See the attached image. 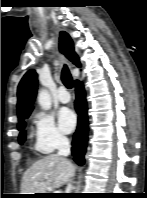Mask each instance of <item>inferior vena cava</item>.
Listing matches in <instances>:
<instances>
[{
	"label": "inferior vena cava",
	"instance_id": "obj_1",
	"mask_svg": "<svg viewBox=\"0 0 147 198\" xmlns=\"http://www.w3.org/2000/svg\"><path fill=\"white\" fill-rule=\"evenodd\" d=\"M58 155L66 158L70 154V142L67 137L60 136L57 142ZM72 189V185L69 182L66 191L69 193Z\"/></svg>",
	"mask_w": 147,
	"mask_h": 198
}]
</instances>
